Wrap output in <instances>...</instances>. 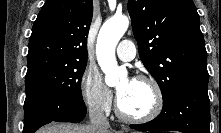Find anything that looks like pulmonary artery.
Listing matches in <instances>:
<instances>
[{"label": "pulmonary artery", "instance_id": "1", "mask_svg": "<svg viewBox=\"0 0 221 133\" xmlns=\"http://www.w3.org/2000/svg\"><path fill=\"white\" fill-rule=\"evenodd\" d=\"M116 52L119 59L125 62L134 59L136 54L134 44L130 40L122 41L119 44Z\"/></svg>", "mask_w": 221, "mask_h": 133}]
</instances>
